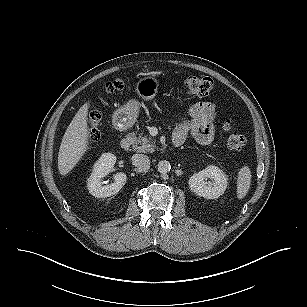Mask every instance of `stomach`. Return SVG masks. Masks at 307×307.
I'll return each instance as SVG.
<instances>
[{
  "instance_id": "stomach-1",
  "label": "stomach",
  "mask_w": 307,
  "mask_h": 307,
  "mask_svg": "<svg viewBox=\"0 0 307 307\" xmlns=\"http://www.w3.org/2000/svg\"><path fill=\"white\" fill-rule=\"evenodd\" d=\"M159 82L153 76H147L136 83L135 90L143 100H152L158 93ZM140 104L137 100L131 99L122 107L118 108L112 117L113 125L118 130L131 127L137 120Z\"/></svg>"
}]
</instances>
